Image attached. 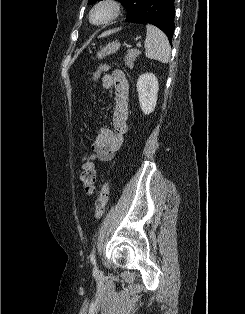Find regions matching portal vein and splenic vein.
Here are the masks:
<instances>
[{
    "mask_svg": "<svg viewBox=\"0 0 245 314\" xmlns=\"http://www.w3.org/2000/svg\"><path fill=\"white\" fill-rule=\"evenodd\" d=\"M137 47L141 48L142 47L141 43H137Z\"/></svg>",
    "mask_w": 245,
    "mask_h": 314,
    "instance_id": "18ae733b",
    "label": "portal vein and splenic vein"
}]
</instances>
